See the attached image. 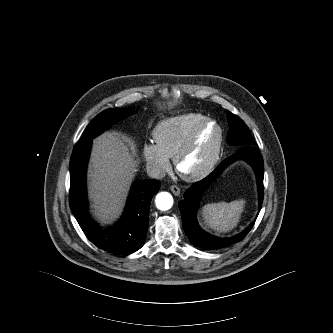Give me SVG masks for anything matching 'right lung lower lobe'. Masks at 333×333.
Returning a JSON list of instances; mask_svg holds the SVG:
<instances>
[{
    "mask_svg": "<svg viewBox=\"0 0 333 333\" xmlns=\"http://www.w3.org/2000/svg\"><path fill=\"white\" fill-rule=\"evenodd\" d=\"M92 140L77 142L70 161V207L88 239L98 248L116 254H131L140 249L146 238L149 206L159 191L160 182L144 180L132 186L125 212L109 230L95 224L87 212L85 174Z\"/></svg>",
    "mask_w": 333,
    "mask_h": 333,
    "instance_id": "right-lung-lower-lobe-1",
    "label": "right lung lower lobe"
}]
</instances>
